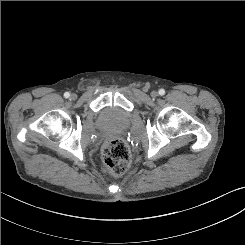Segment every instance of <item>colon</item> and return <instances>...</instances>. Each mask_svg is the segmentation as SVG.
<instances>
[{
  "mask_svg": "<svg viewBox=\"0 0 245 245\" xmlns=\"http://www.w3.org/2000/svg\"><path fill=\"white\" fill-rule=\"evenodd\" d=\"M101 158L106 171L114 176L122 175L131 162L128 148L118 139L111 140L105 144Z\"/></svg>",
  "mask_w": 245,
  "mask_h": 245,
  "instance_id": "5ec220e1",
  "label": "colon"
}]
</instances>
